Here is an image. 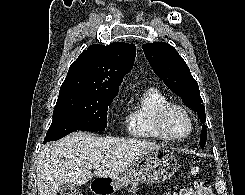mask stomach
I'll list each match as a JSON object with an SVG mask.
<instances>
[{"label":"stomach","mask_w":245,"mask_h":195,"mask_svg":"<svg viewBox=\"0 0 245 195\" xmlns=\"http://www.w3.org/2000/svg\"><path fill=\"white\" fill-rule=\"evenodd\" d=\"M178 167L173 152L167 149L147 151L125 172L109 179L113 190L135 183H161L170 179Z\"/></svg>","instance_id":"stomach-1"}]
</instances>
